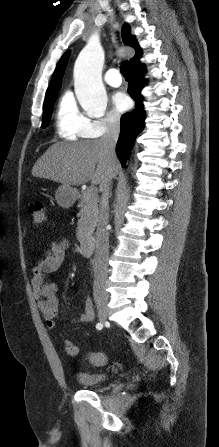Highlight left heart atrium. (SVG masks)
Instances as JSON below:
<instances>
[{"label": "left heart atrium", "mask_w": 219, "mask_h": 447, "mask_svg": "<svg viewBox=\"0 0 219 447\" xmlns=\"http://www.w3.org/2000/svg\"><path fill=\"white\" fill-rule=\"evenodd\" d=\"M113 104L118 111L124 112L130 107V99L123 92H118L113 96Z\"/></svg>", "instance_id": "obj_1"}]
</instances>
